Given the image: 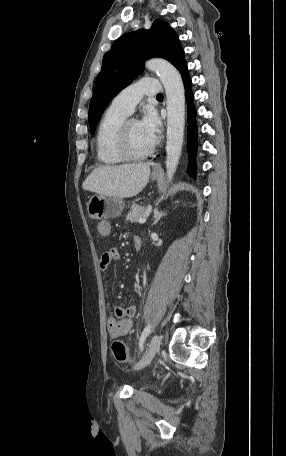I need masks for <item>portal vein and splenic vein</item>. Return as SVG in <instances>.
Listing matches in <instances>:
<instances>
[{
  "label": "portal vein and splenic vein",
  "instance_id": "1",
  "mask_svg": "<svg viewBox=\"0 0 286 456\" xmlns=\"http://www.w3.org/2000/svg\"><path fill=\"white\" fill-rule=\"evenodd\" d=\"M149 214H150V211H149V210L146 211V213L144 214V216L138 219V223H140V224L145 223L146 220H147V218H148V216H149Z\"/></svg>",
  "mask_w": 286,
  "mask_h": 456
}]
</instances>
